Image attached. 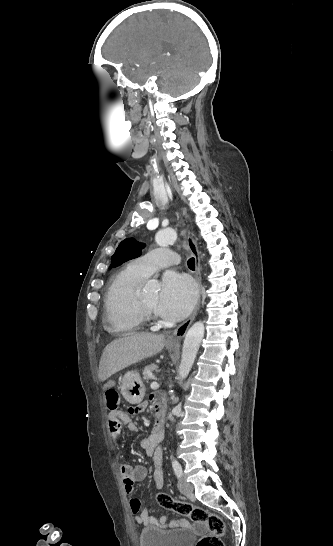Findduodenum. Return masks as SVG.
Segmentation results:
<instances>
[{
    "mask_svg": "<svg viewBox=\"0 0 333 546\" xmlns=\"http://www.w3.org/2000/svg\"><path fill=\"white\" fill-rule=\"evenodd\" d=\"M164 432V419L162 416H157L155 427H154V433L157 436H162Z\"/></svg>",
    "mask_w": 333,
    "mask_h": 546,
    "instance_id": "410a0bca",
    "label": "duodenum"
}]
</instances>
